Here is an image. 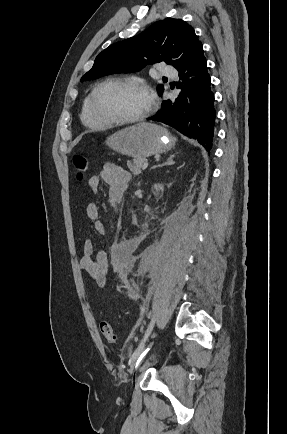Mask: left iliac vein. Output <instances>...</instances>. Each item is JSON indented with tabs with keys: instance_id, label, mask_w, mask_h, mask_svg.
<instances>
[{
	"instance_id": "4c4485c4",
	"label": "left iliac vein",
	"mask_w": 287,
	"mask_h": 434,
	"mask_svg": "<svg viewBox=\"0 0 287 434\" xmlns=\"http://www.w3.org/2000/svg\"><path fill=\"white\" fill-rule=\"evenodd\" d=\"M153 346V341L148 344V349ZM147 368V363L141 366L140 371H145Z\"/></svg>"
}]
</instances>
